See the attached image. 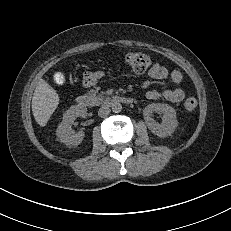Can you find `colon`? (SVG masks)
Here are the masks:
<instances>
[{
  "label": "colon",
  "instance_id": "1",
  "mask_svg": "<svg viewBox=\"0 0 231 231\" xmlns=\"http://www.w3.org/2000/svg\"><path fill=\"white\" fill-rule=\"evenodd\" d=\"M126 66L135 73H143L152 66L150 56L140 52H129L125 55ZM187 112H194L197 108V100L194 97H187L183 103Z\"/></svg>",
  "mask_w": 231,
  "mask_h": 231
}]
</instances>
